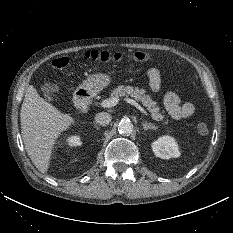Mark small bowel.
I'll list each match as a JSON object with an SVG mask.
<instances>
[{
    "label": "small bowel",
    "mask_w": 233,
    "mask_h": 233,
    "mask_svg": "<svg viewBox=\"0 0 233 233\" xmlns=\"http://www.w3.org/2000/svg\"><path fill=\"white\" fill-rule=\"evenodd\" d=\"M148 85L153 93H158L161 85V77L158 69L150 68L147 72ZM165 107L174 119H184L190 117L195 107L191 102H182L178 92L173 90L169 91L164 97Z\"/></svg>",
    "instance_id": "small-bowel-1"
}]
</instances>
